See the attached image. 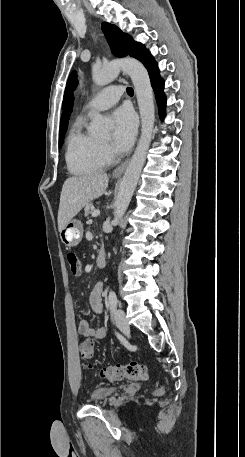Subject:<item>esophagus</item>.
<instances>
[{
  "instance_id": "1",
  "label": "esophagus",
  "mask_w": 245,
  "mask_h": 457,
  "mask_svg": "<svg viewBox=\"0 0 245 457\" xmlns=\"http://www.w3.org/2000/svg\"><path fill=\"white\" fill-rule=\"evenodd\" d=\"M129 162V159H127L124 163H122L121 165H119V167H117L112 175L113 176H121L123 174V172L125 171L126 167H127V164Z\"/></svg>"
}]
</instances>
